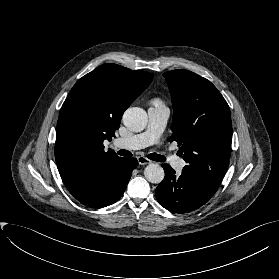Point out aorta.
I'll list each match as a JSON object with an SVG mask.
<instances>
[{"label":"aorta","instance_id":"obj_1","mask_svg":"<svg viewBox=\"0 0 279 279\" xmlns=\"http://www.w3.org/2000/svg\"><path fill=\"white\" fill-rule=\"evenodd\" d=\"M124 125L133 132H140L147 125V113L139 107L128 108L123 114ZM145 178L153 184H158L164 179L163 168L155 163L149 164L144 170Z\"/></svg>","mask_w":279,"mask_h":279}]
</instances>
